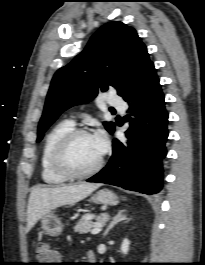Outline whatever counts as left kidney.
Instances as JSON below:
<instances>
[{
  "mask_svg": "<svg viewBox=\"0 0 205 265\" xmlns=\"http://www.w3.org/2000/svg\"><path fill=\"white\" fill-rule=\"evenodd\" d=\"M130 241L128 239H124L121 245V251L123 254H127L129 251Z\"/></svg>",
  "mask_w": 205,
  "mask_h": 265,
  "instance_id": "obj_1",
  "label": "left kidney"
}]
</instances>
